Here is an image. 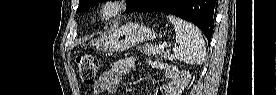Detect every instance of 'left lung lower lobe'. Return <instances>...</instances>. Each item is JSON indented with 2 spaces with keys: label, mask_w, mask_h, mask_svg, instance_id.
<instances>
[{
  "label": "left lung lower lobe",
  "mask_w": 277,
  "mask_h": 95,
  "mask_svg": "<svg viewBox=\"0 0 277 95\" xmlns=\"http://www.w3.org/2000/svg\"><path fill=\"white\" fill-rule=\"evenodd\" d=\"M218 0H147L135 12L163 11L197 25L211 40Z\"/></svg>",
  "instance_id": "left-lung-lower-lobe-1"
}]
</instances>
